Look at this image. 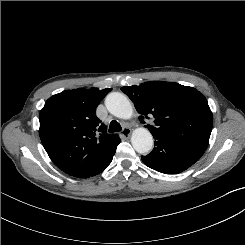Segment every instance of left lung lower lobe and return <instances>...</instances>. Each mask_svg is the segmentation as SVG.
Segmentation results:
<instances>
[{
    "label": "left lung lower lobe",
    "instance_id": "obj_1",
    "mask_svg": "<svg viewBox=\"0 0 245 245\" xmlns=\"http://www.w3.org/2000/svg\"><path fill=\"white\" fill-rule=\"evenodd\" d=\"M155 147L147 156H141L148 167L165 174H178L192 166L205 152L198 145L169 137L153 136Z\"/></svg>",
    "mask_w": 245,
    "mask_h": 245
}]
</instances>
